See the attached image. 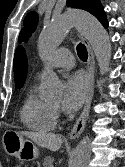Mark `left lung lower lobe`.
Instances as JSON below:
<instances>
[{
  "instance_id": "0a47b994",
  "label": "left lung lower lobe",
  "mask_w": 125,
  "mask_h": 167,
  "mask_svg": "<svg viewBox=\"0 0 125 167\" xmlns=\"http://www.w3.org/2000/svg\"><path fill=\"white\" fill-rule=\"evenodd\" d=\"M102 25H104L105 28L108 27V22L102 23Z\"/></svg>"
}]
</instances>
